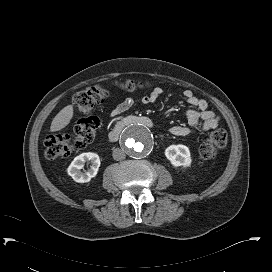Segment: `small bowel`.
I'll return each mask as SVG.
<instances>
[{
    "label": "small bowel",
    "instance_id": "small-bowel-1",
    "mask_svg": "<svg viewBox=\"0 0 272 272\" xmlns=\"http://www.w3.org/2000/svg\"><path fill=\"white\" fill-rule=\"evenodd\" d=\"M162 94L161 88H155L152 92L144 97H142L141 102L143 104H151L158 100ZM184 98L186 102L195 108H189L185 112V117L188 121V126L178 125L173 126L170 132L176 136H186L191 133L199 131H209L219 127L221 123L220 117L208 108V103L206 100L195 95L191 90H185ZM133 105V100L131 98H126L120 104H118L112 111V115H119Z\"/></svg>",
    "mask_w": 272,
    "mask_h": 272
}]
</instances>
